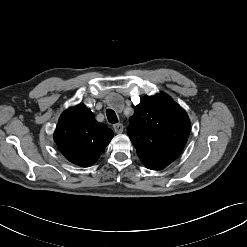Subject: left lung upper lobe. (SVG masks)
Wrapping results in <instances>:
<instances>
[{
  "mask_svg": "<svg viewBox=\"0 0 247 247\" xmlns=\"http://www.w3.org/2000/svg\"><path fill=\"white\" fill-rule=\"evenodd\" d=\"M187 113L165 94L145 96L129 118L127 134L138 157L152 170L168 166L182 152L189 133Z\"/></svg>",
  "mask_w": 247,
  "mask_h": 247,
  "instance_id": "1",
  "label": "left lung upper lobe"
}]
</instances>
